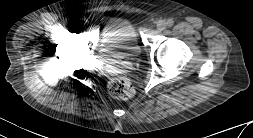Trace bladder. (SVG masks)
<instances>
[{
  "label": "bladder",
  "mask_w": 253,
  "mask_h": 138,
  "mask_svg": "<svg viewBox=\"0 0 253 138\" xmlns=\"http://www.w3.org/2000/svg\"><path fill=\"white\" fill-rule=\"evenodd\" d=\"M101 51L118 60L129 61L140 56L141 45L137 29L128 20H115L101 34Z\"/></svg>",
  "instance_id": "bladder-1"
}]
</instances>
